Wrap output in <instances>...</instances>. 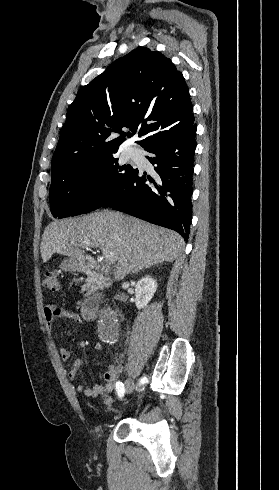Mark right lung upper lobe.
<instances>
[{"instance_id":"right-lung-upper-lobe-1","label":"right lung upper lobe","mask_w":279,"mask_h":490,"mask_svg":"<svg viewBox=\"0 0 279 490\" xmlns=\"http://www.w3.org/2000/svg\"><path fill=\"white\" fill-rule=\"evenodd\" d=\"M183 75L160 52L141 47L114 61L82 87L67 111L52 159V179L138 134L144 149L194 126ZM130 128L132 133L121 131ZM121 134L111 139L115 134Z\"/></svg>"}]
</instances>
